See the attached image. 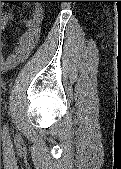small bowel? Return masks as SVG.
Instances as JSON below:
<instances>
[{"label":"small bowel","mask_w":121,"mask_h":169,"mask_svg":"<svg viewBox=\"0 0 121 169\" xmlns=\"http://www.w3.org/2000/svg\"><path fill=\"white\" fill-rule=\"evenodd\" d=\"M13 19V12L7 11L2 14L1 28L5 29L8 23ZM42 20V12L36 9L31 17L21 20L25 29L20 35L17 43L13 48L6 52L7 43H2L1 53V70L8 71L23 62L36 46L40 36V23Z\"/></svg>","instance_id":"small-bowel-1"}]
</instances>
